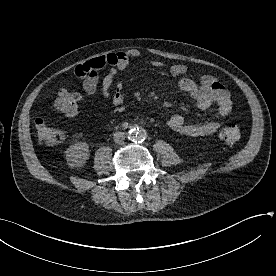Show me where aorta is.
Instances as JSON below:
<instances>
[{
	"label": "aorta",
	"mask_w": 276,
	"mask_h": 276,
	"mask_svg": "<svg viewBox=\"0 0 276 276\" xmlns=\"http://www.w3.org/2000/svg\"><path fill=\"white\" fill-rule=\"evenodd\" d=\"M128 135L131 139L137 142L144 141L147 136L145 130L138 127H131L128 131Z\"/></svg>",
	"instance_id": "1"
}]
</instances>
